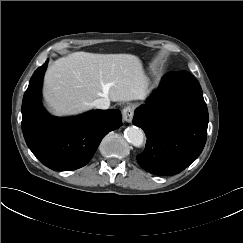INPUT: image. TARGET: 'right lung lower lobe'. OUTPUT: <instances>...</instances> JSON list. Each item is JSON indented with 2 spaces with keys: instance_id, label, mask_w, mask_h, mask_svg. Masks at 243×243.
Returning <instances> with one entry per match:
<instances>
[{
  "instance_id": "obj_1",
  "label": "right lung lower lobe",
  "mask_w": 243,
  "mask_h": 243,
  "mask_svg": "<svg viewBox=\"0 0 243 243\" xmlns=\"http://www.w3.org/2000/svg\"><path fill=\"white\" fill-rule=\"evenodd\" d=\"M48 60L33 74L22 102V131L32 153L55 171L85 166L102 138L122 125L118 110H95L59 118L42 106L40 89Z\"/></svg>"
}]
</instances>
